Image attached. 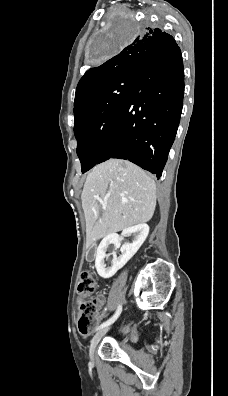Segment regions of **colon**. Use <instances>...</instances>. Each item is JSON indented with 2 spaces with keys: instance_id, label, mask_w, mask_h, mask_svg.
Returning a JSON list of instances; mask_svg holds the SVG:
<instances>
[{
  "instance_id": "colon-1",
  "label": "colon",
  "mask_w": 228,
  "mask_h": 396,
  "mask_svg": "<svg viewBox=\"0 0 228 396\" xmlns=\"http://www.w3.org/2000/svg\"><path fill=\"white\" fill-rule=\"evenodd\" d=\"M96 281L90 270H85L80 274L77 284V293L79 296L78 309V328L81 334H89L97 322L98 311L103 304L101 297L91 299L95 291Z\"/></svg>"
}]
</instances>
